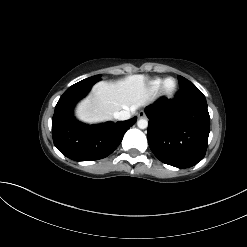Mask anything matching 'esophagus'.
I'll use <instances>...</instances> for the list:
<instances>
[{
	"label": "esophagus",
	"mask_w": 247,
	"mask_h": 247,
	"mask_svg": "<svg viewBox=\"0 0 247 247\" xmlns=\"http://www.w3.org/2000/svg\"><path fill=\"white\" fill-rule=\"evenodd\" d=\"M138 116H139L140 118H145V117H146V114H145L144 111H140V112L138 113Z\"/></svg>",
	"instance_id": "esophagus-1"
}]
</instances>
